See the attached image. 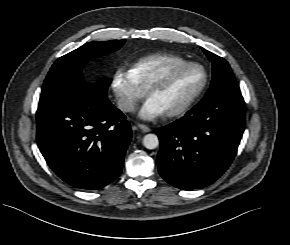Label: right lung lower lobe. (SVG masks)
Here are the masks:
<instances>
[{"instance_id": "right-lung-lower-lobe-1", "label": "right lung lower lobe", "mask_w": 290, "mask_h": 245, "mask_svg": "<svg viewBox=\"0 0 290 245\" xmlns=\"http://www.w3.org/2000/svg\"><path fill=\"white\" fill-rule=\"evenodd\" d=\"M36 119L38 147L63 181L100 189L120 175L132 132L107 97L87 90L39 104Z\"/></svg>"}]
</instances>
